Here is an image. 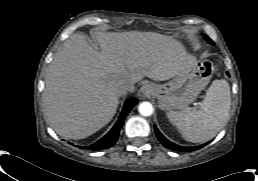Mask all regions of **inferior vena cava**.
Here are the masks:
<instances>
[{
    "label": "inferior vena cava",
    "mask_w": 258,
    "mask_h": 181,
    "mask_svg": "<svg viewBox=\"0 0 258 181\" xmlns=\"http://www.w3.org/2000/svg\"><path fill=\"white\" fill-rule=\"evenodd\" d=\"M135 87L132 82H125L119 87V94L125 95L126 93L134 92Z\"/></svg>",
    "instance_id": "inferior-vena-cava-1"
}]
</instances>
